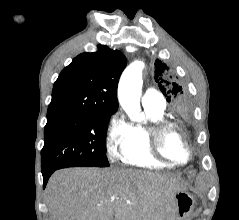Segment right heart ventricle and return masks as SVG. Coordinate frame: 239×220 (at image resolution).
I'll return each instance as SVG.
<instances>
[{
	"label": "right heart ventricle",
	"instance_id": "e07e8e85",
	"mask_svg": "<svg viewBox=\"0 0 239 220\" xmlns=\"http://www.w3.org/2000/svg\"><path fill=\"white\" fill-rule=\"evenodd\" d=\"M147 116V123L130 125V134L128 139L120 147L117 158L127 166L140 168H165L170 164L156 158L149 147V138L147 126L150 123H156L164 120V109L144 106Z\"/></svg>",
	"mask_w": 239,
	"mask_h": 220
}]
</instances>
